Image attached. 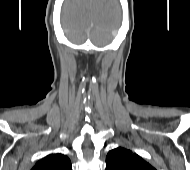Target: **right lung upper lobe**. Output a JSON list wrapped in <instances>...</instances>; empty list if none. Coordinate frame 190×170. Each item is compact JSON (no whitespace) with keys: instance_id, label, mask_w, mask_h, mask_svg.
Here are the masks:
<instances>
[{"instance_id":"1","label":"right lung upper lobe","mask_w":190,"mask_h":170,"mask_svg":"<svg viewBox=\"0 0 190 170\" xmlns=\"http://www.w3.org/2000/svg\"><path fill=\"white\" fill-rule=\"evenodd\" d=\"M31 170H72L68 157L61 153L47 155L38 161Z\"/></svg>"}]
</instances>
